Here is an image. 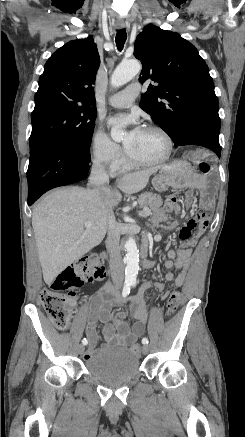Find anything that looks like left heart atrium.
Wrapping results in <instances>:
<instances>
[{
	"label": "left heart atrium",
	"instance_id": "obj_1",
	"mask_svg": "<svg viewBox=\"0 0 245 437\" xmlns=\"http://www.w3.org/2000/svg\"><path fill=\"white\" fill-rule=\"evenodd\" d=\"M108 124L111 127L117 125H129L131 127V130L128 134L130 142L135 140L141 132V128L138 125L137 117L134 115H119L116 117H112L109 119Z\"/></svg>",
	"mask_w": 245,
	"mask_h": 437
}]
</instances>
